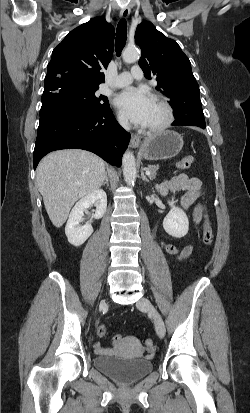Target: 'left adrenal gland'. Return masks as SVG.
<instances>
[{"instance_id":"a2214340","label":"left adrenal gland","mask_w":250,"mask_h":413,"mask_svg":"<svg viewBox=\"0 0 250 413\" xmlns=\"http://www.w3.org/2000/svg\"><path fill=\"white\" fill-rule=\"evenodd\" d=\"M144 170H145V169H142V170H141L142 180H143V181H146V182H149V179H148V178L146 177V175L144 174Z\"/></svg>"}]
</instances>
